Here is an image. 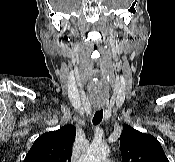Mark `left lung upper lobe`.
I'll use <instances>...</instances> for the list:
<instances>
[{
    "label": "left lung upper lobe",
    "instance_id": "left-lung-upper-lobe-1",
    "mask_svg": "<svg viewBox=\"0 0 175 162\" xmlns=\"http://www.w3.org/2000/svg\"><path fill=\"white\" fill-rule=\"evenodd\" d=\"M120 150L124 162H169L154 136L141 133L129 125L123 126Z\"/></svg>",
    "mask_w": 175,
    "mask_h": 162
}]
</instances>
